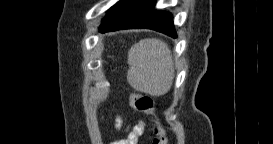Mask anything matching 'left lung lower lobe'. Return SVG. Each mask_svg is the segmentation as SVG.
<instances>
[{
    "instance_id": "1",
    "label": "left lung lower lobe",
    "mask_w": 273,
    "mask_h": 144,
    "mask_svg": "<svg viewBox=\"0 0 273 144\" xmlns=\"http://www.w3.org/2000/svg\"><path fill=\"white\" fill-rule=\"evenodd\" d=\"M129 28H148L177 37L171 14L157 11L155 0H120L108 10L100 32Z\"/></svg>"
}]
</instances>
